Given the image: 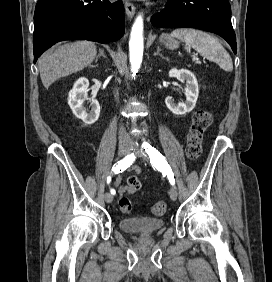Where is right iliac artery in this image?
Instances as JSON below:
<instances>
[{
  "label": "right iliac artery",
  "instance_id": "82829eb1",
  "mask_svg": "<svg viewBox=\"0 0 272 282\" xmlns=\"http://www.w3.org/2000/svg\"><path fill=\"white\" fill-rule=\"evenodd\" d=\"M135 155L133 153L127 155L124 159H122L121 161H119L117 164H115L112 167V171L114 174H118L120 172H123L125 169H127L134 161H135ZM111 181V177L109 176L107 178V182L110 183ZM111 194H115V190L111 189L110 190Z\"/></svg>",
  "mask_w": 272,
  "mask_h": 282
}]
</instances>
